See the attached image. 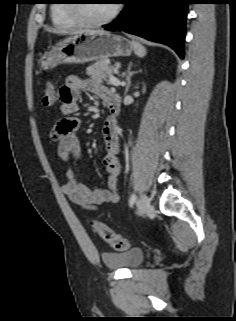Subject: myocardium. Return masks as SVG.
Masks as SVG:
<instances>
[{
  "label": "myocardium",
  "mask_w": 236,
  "mask_h": 321,
  "mask_svg": "<svg viewBox=\"0 0 236 321\" xmlns=\"http://www.w3.org/2000/svg\"><path fill=\"white\" fill-rule=\"evenodd\" d=\"M87 0H70L69 11L73 18H75L79 24L87 27H101L112 22L120 13L121 5L114 3V7L111 13L101 20H92L85 16L84 14V2Z\"/></svg>",
  "instance_id": "1"
}]
</instances>
